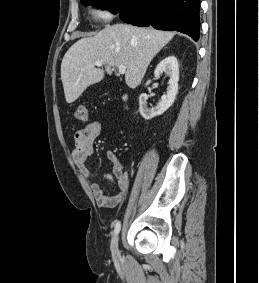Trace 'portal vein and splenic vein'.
Here are the masks:
<instances>
[{"instance_id": "18ae733b", "label": "portal vein and splenic vein", "mask_w": 259, "mask_h": 283, "mask_svg": "<svg viewBox=\"0 0 259 283\" xmlns=\"http://www.w3.org/2000/svg\"><path fill=\"white\" fill-rule=\"evenodd\" d=\"M103 64L102 60H98L94 63L95 66L101 67ZM126 72V67L125 66H119V73L120 74H125Z\"/></svg>"}]
</instances>
